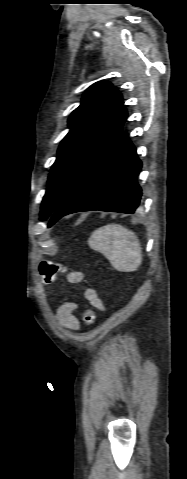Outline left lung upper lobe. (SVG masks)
Listing matches in <instances>:
<instances>
[{
  "label": "left lung upper lobe",
  "instance_id": "5c2ea615",
  "mask_svg": "<svg viewBox=\"0 0 187 479\" xmlns=\"http://www.w3.org/2000/svg\"><path fill=\"white\" fill-rule=\"evenodd\" d=\"M126 118L122 96L111 83L100 81L85 91L52 165L41 220L53 214L88 167L116 142Z\"/></svg>",
  "mask_w": 187,
  "mask_h": 479
}]
</instances>
